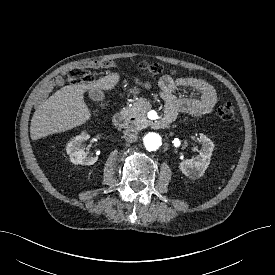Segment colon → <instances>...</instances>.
Masks as SVG:
<instances>
[{"label": "colon", "instance_id": "5ec220e1", "mask_svg": "<svg viewBox=\"0 0 275 275\" xmlns=\"http://www.w3.org/2000/svg\"><path fill=\"white\" fill-rule=\"evenodd\" d=\"M113 62L111 60L92 61L87 63L88 67H111ZM138 68L153 76L158 77L163 73V67L158 63L139 64ZM66 79L73 84H89L93 81V76L84 67H73L66 72ZM99 108H101L99 106ZM217 115L222 120H231L234 117V107L231 103H225L218 107Z\"/></svg>", "mask_w": 275, "mask_h": 275}]
</instances>
